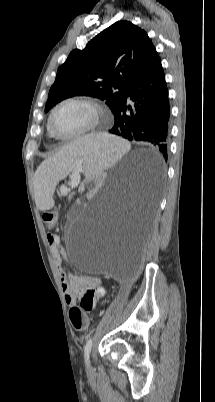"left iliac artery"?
Instances as JSON below:
<instances>
[{
    "label": "left iliac artery",
    "mask_w": 215,
    "mask_h": 402,
    "mask_svg": "<svg viewBox=\"0 0 215 402\" xmlns=\"http://www.w3.org/2000/svg\"><path fill=\"white\" fill-rule=\"evenodd\" d=\"M91 347H92V338H89L84 347V357H85L86 363H88V361H89V354L91 351Z\"/></svg>",
    "instance_id": "44dca946"
}]
</instances>
